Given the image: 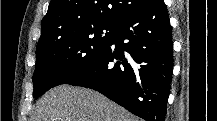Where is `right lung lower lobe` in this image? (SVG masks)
<instances>
[{
  "label": "right lung lower lobe",
  "instance_id": "obj_1",
  "mask_svg": "<svg viewBox=\"0 0 217 121\" xmlns=\"http://www.w3.org/2000/svg\"><path fill=\"white\" fill-rule=\"evenodd\" d=\"M172 71L166 5L148 0L118 24L102 55L66 84L94 89L146 121H164Z\"/></svg>",
  "mask_w": 217,
  "mask_h": 121
}]
</instances>
